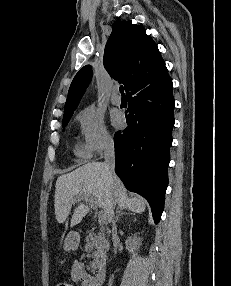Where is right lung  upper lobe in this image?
Masks as SVG:
<instances>
[{
    "label": "right lung upper lobe",
    "instance_id": "right-lung-upper-lobe-1",
    "mask_svg": "<svg viewBox=\"0 0 231 286\" xmlns=\"http://www.w3.org/2000/svg\"><path fill=\"white\" fill-rule=\"evenodd\" d=\"M105 69L121 81L125 90L135 81L159 75L167 68L155 42L141 26L129 21H117L104 51ZM92 78V68L86 65L74 77L65 103L64 115L73 113Z\"/></svg>",
    "mask_w": 231,
    "mask_h": 286
}]
</instances>
